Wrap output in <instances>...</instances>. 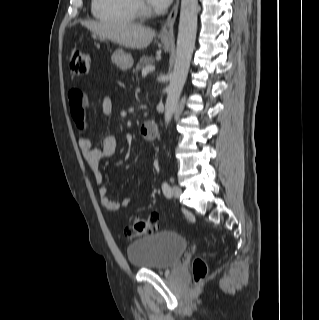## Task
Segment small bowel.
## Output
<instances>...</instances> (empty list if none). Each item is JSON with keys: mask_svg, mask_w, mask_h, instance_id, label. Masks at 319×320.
Segmentation results:
<instances>
[{"mask_svg": "<svg viewBox=\"0 0 319 320\" xmlns=\"http://www.w3.org/2000/svg\"><path fill=\"white\" fill-rule=\"evenodd\" d=\"M87 95L84 91L74 88L69 92L70 112L76 128L80 131L81 136L78 139V146L82 157L92 171L95 181L99 184L98 195L100 197L102 207L107 211H117L121 207H127L131 201V197H125L121 201H116L108 196L107 188L101 185L103 177L100 171L101 160L111 157L117 150V141L113 136H105L98 147H93L91 141L85 137L86 130L85 114L87 106ZM102 112L109 116L113 112L112 99L106 96L102 101Z\"/></svg>", "mask_w": 319, "mask_h": 320, "instance_id": "small-bowel-1", "label": "small bowel"}]
</instances>
